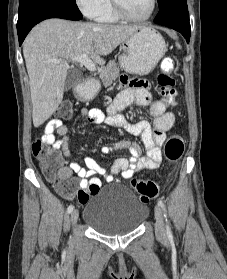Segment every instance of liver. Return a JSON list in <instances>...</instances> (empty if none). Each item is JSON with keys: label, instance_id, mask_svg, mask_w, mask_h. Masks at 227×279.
Instances as JSON below:
<instances>
[{"label": "liver", "instance_id": "obj_1", "mask_svg": "<svg viewBox=\"0 0 227 279\" xmlns=\"http://www.w3.org/2000/svg\"><path fill=\"white\" fill-rule=\"evenodd\" d=\"M141 27L63 19H47L36 25L23 44L34 127L42 125L61 104L69 59L87 54L95 63L104 64L102 56Z\"/></svg>", "mask_w": 227, "mask_h": 279}]
</instances>
